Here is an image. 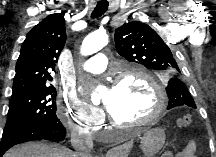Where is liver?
I'll return each instance as SVG.
<instances>
[{
	"label": "liver",
	"mask_w": 216,
	"mask_h": 157,
	"mask_svg": "<svg viewBox=\"0 0 216 157\" xmlns=\"http://www.w3.org/2000/svg\"><path fill=\"white\" fill-rule=\"evenodd\" d=\"M133 142L114 148L107 153L108 157L117 155H128ZM4 157H74V153L68 148L59 144L46 142H29L11 148Z\"/></svg>",
	"instance_id": "liver-1"
}]
</instances>
